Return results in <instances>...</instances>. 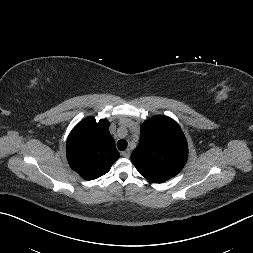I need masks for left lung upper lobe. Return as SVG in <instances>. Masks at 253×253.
Listing matches in <instances>:
<instances>
[{
  "label": "left lung upper lobe",
  "mask_w": 253,
  "mask_h": 253,
  "mask_svg": "<svg viewBox=\"0 0 253 253\" xmlns=\"http://www.w3.org/2000/svg\"><path fill=\"white\" fill-rule=\"evenodd\" d=\"M188 157L186 138L176 121L155 116L141 125L140 143L131 160L146 179L162 183L176 176Z\"/></svg>",
  "instance_id": "5c2ea615"
}]
</instances>
